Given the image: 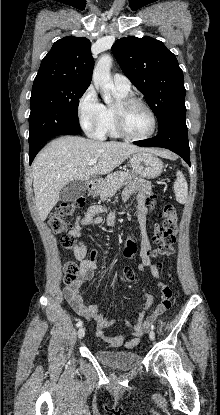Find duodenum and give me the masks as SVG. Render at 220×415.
I'll use <instances>...</instances> for the list:
<instances>
[{"mask_svg": "<svg viewBox=\"0 0 220 415\" xmlns=\"http://www.w3.org/2000/svg\"><path fill=\"white\" fill-rule=\"evenodd\" d=\"M96 189V182L94 180H90L88 182V190L89 192H93Z\"/></svg>", "mask_w": 220, "mask_h": 415, "instance_id": "1", "label": "duodenum"}]
</instances>
